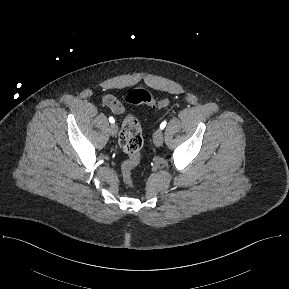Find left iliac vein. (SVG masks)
Listing matches in <instances>:
<instances>
[{
    "label": "left iliac vein",
    "instance_id": "obj_1",
    "mask_svg": "<svg viewBox=\"0 0 289 289\" xmlns=\"http://www.w3.org/2000/svg\"><path fill=\"white\" fill-rule=\"evenodd\" d=\"M154 143L156 146H161L163 143V134L161 130H157L154 133Z\"/></svg>",
    "mask_w": 289,
    "mask_h": 289
}]
</instances>
